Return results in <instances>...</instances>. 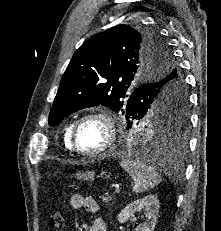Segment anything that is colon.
Here are the masks:
<instances>
[{
  "label": "colon",
  "instance_id": "5ec220e1",
  "mask_svg": "<svg viewBox=\"0 0 221 231\" xmlns=\"http://www.w3.org/2000/svg\"><path fill=\"white\" fill-rule=\"evenodd\" d=\"M49 226L53 229H61L64 226V216L61 212L55 211L50 215Z\"/></svg>",
  "mask_w": 221,
  "mask_h": 231
}]
</instances>
